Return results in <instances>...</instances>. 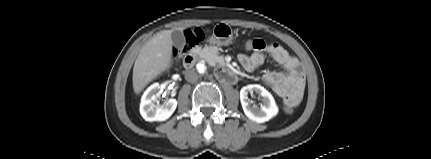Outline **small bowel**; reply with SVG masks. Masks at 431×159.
<instances>
[{"label": "small bowel", "mask_w": 431, "mask_h": 159, "mask_svg": "<svg viewBox=\"0 0 431 159\" xmlns=\"http://www.w3.org/2000/svg\"><path fill=\"white\" fill-rule=\"evenodd\" d=\"M251 54H240L238 60L249 72L255 70L265 60L268 53L285 71H269L263 80L278 97L283 99L285 107L295 108L302 99L305 80L299 68L298 60L277 43L267 44L262 39H253Z\"/></svg>", "instance_id": "small-bowel-1"}]
</instances>
